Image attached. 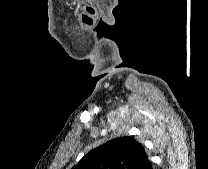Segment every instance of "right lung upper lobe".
I'll return each instance as SVG.
<instances>
[{
    "instance_id": "cb5924a9",
    "label": "right lung upper lobe",
    "mask_w": 208,
    "mask_h": 169,
    "mask_svg": "<svg viewBox=\"0 0 208 169\" xmlns=\"http://www.w3.org/2000/svg\"><path fill=\"white\" fill-rule=\"evenodd\" d=\"M145 149L132 137H117L89 151L72 169H150Z\"/></svg>"
}]
</instances>
